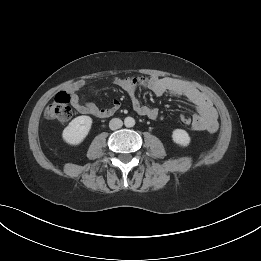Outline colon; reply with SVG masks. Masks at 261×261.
<instances>
[{
    "instance_id": "colon-1",
    "label": "colon",
    "mask_w": 261,
    "mask_h": 261,
    "mask_svg": "<svg viewBox=\"0 0 261 261\" xmlns=\"http://www.w3.org/2000/svg\"><path fill=\"white\" fill-rule=\"evenodd\" d=\"M70 96L66 92H60L55 96V99L50 103L44 112V115L49 120L58 122H67L72 117V110L69 106ZM181 121L185 125L192 124V118L186 115L181 116Z\"/></svg>"
}]
</instances>
